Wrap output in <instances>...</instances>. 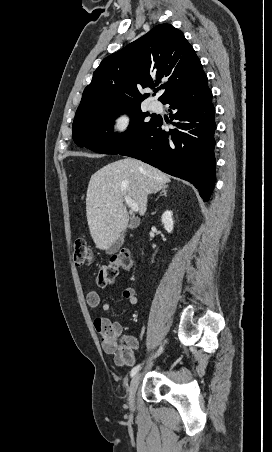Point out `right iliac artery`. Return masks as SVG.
<instances>
[{
    "mask_svg": "<svg viewBox=\"0 0 272 452\" xmlns=\"http://www.w3.org/2000/svg\"><path fill=\"white\" fill-rule=\"evenodd\" d=\"M162 350H163V348H162V346H161V347L159 348L158 352L156 353L155 357H156L157 355H159V354L162 352ZM140 368H141V364L135 366V367L131 370V373H130L131 377H133V376L139 371Z\"/></svg>",
    "mask_w": 272,
    "mask_h": 452,
    "instance_id": "82829eb1",
    "label": "right iliac artery"
}]
</instances>
